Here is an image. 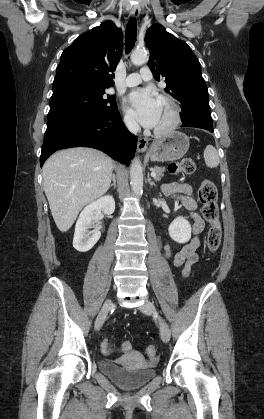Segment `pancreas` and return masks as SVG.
I'll list each match as a JSON object with an SVG mask.
<instances>
[{"label": "pancreas", "mask_w": 264, "mask_h": 419, "mask_svg": "<svg viewBox=\"0 0 264 419\" xmlns=\"http://www.w3.org/2000/svg\"><path fill=\"white\" fill-rule=\"evenodd\" d=\"M164 168L163 167H156L154 168V171L156 172V177L155 180L156 181H160L161 178L163 177V172H164Z\"/></svg>", "instance_id": "1"}]
</instances>
